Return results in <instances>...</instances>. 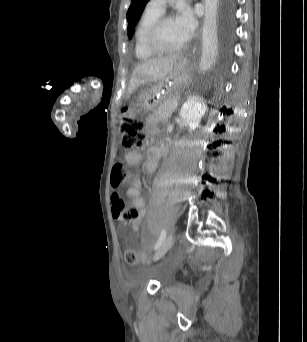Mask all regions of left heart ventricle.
<instances>
[{
    "mask_svg": "<svg viewBox=\"0 0 307 342\" xmlns=\"http://www.w3.org/2000/svg\"><path fill=\"white\" fill-rule=\"evenodd\" d=\"M157 41L160 47L165 50H176L186 45L178 30L176 21L166 22L161 27Z\"/></svg>",
    "mask_w": 307,
    "mask_h": 342,
    "instance_id": "obj_1",
    "label": "left heart ventricle"
}]
</instances>
